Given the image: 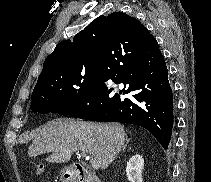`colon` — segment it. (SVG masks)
I'll return each mask as SVG.
<instances>
[{"label":"colon","mask_w":211,"mask_h":182,"mask_svg":"<svg viewBox=\"0 0 211 182\" xmlns=\"http://www.w3.org/2000/svg\"><path fill=\"white\" fill-rule=\"evenodd\" d=\"M34 174L35 175H41L43 173V165L42 164H36L34 166Z\"/></svg>","instance_id":"5ec220e1"}]
</instances>
